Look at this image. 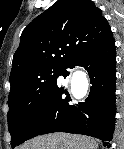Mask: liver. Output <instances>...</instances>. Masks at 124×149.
<instances>
[{
    "label": "liver",
    "instance_id": "liver-1",
    "mask_svg": "<svg viewBox=\"0 0 124 149\" xmlns=\"http://www.w3.org/2000/svg\"><path fill=\"white\" fill-rule=\"evenodd\" d=\"M98 144L88 138L78 135L56 133L39 136L21 147V149H97Z\"/></svg>",
    "mask_w": 124,
    "mask_h": 149
}]
</instances>
